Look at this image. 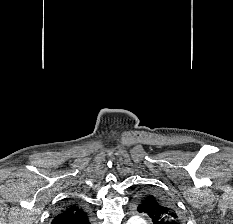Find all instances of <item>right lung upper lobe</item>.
<instances>
[{
  "label": "right lung upper lobe",
  "instance_id": "1",
  "mask_svg": "<svg viewBox=\"0 0 233 224\" xmlns=\"http://www.w3.org/2000/svg\"><path fill=\"white\" fill-rule=\"evenodd\" d=\"M89 211L77 202L68 203L54 215L51 224H91Z\"/></svg>",
  "mask_w": 233,
  "mask_h": 224
}]
</instances>
